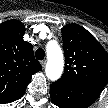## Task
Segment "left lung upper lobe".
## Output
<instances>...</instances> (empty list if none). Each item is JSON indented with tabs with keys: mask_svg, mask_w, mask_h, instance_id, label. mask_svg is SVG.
<instances>
[{
	"mask_svg": "<svg viewBox=\"0 0 108 108\" xmlns=\"http://www.w3.org/2000/svg\"><path fill=\"white\" fill-rule=\"evenodd\" d=\"M65 70L61 79L105 87L108 82V54L87 30L72 23L62 28Z\"/></svg>",
	"mask_w": 108,
	"mask_h": 108,
	"instance_id": "5c2ea615",
	"label": "left lung upper lobe"
}]
</instances>
